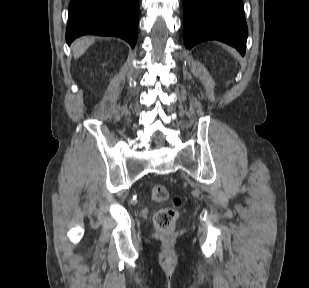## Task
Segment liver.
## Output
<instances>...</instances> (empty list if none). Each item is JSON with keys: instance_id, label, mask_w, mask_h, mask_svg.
<instances>
[{"instance_id": "liver-1", "label": "liver", "mask_w": 309, "mask_h": 288, "mask_svg": "<svg viewBox=\"0 0 309 288\" xmlns=\"http://www.w3.org/2000/svg\"><path fill=\"white\" fill-rule=\"evenodd\" d=\"M94 42L95 38L93 37H83L77 39L72 45L74 58L77 59L82 56Z\"/></svg>"}]
</instances>
